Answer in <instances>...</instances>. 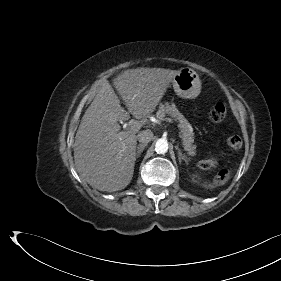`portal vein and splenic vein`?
Wrapping results in <instances>:
<instances>
[{"label":"portal vein and splenic vein","mask_w":281,"mask_h":281,"mask_svg":"<svg viewBox=\"0 0 281 281\" xmlns=\"http://www.w3.org/2000/svg\"><path fill=\"white\" fill-rule=\"evenodd\" d=\"M164 120L169 123H173V120L171 118H165ZM143 124L144 123H142L141 121L133 122L130 126L131 127L130 130L133 132H137V131H139V129L142 127Z\"/></svg>","instance_id":"portal-vein-and-splenic-vein-1"}]
</instances>
